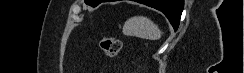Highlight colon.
Here are the masks:
<instances>
[{"label":"colon","instance_id":"1","mask_svg":"<svg viewBox=\"0 0 244 73\" xmlns=\"http://www.w3.org/2000/svg\"><path fill=\"white\" fill-rule=\"evenodd\" d=\"M100 48L107 56L114 57L121 50V41L112 36L103 37L100 40Z\"/></svg>","mask_w":244,"mask_h":73}]
</instances>
